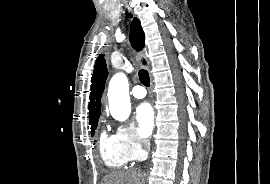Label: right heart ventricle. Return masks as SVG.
Instances as JSON below:
<instances>
[{
	"label": "right heart ventricle",
	"instance_id": "obj_1",
	"mask_svg": "<svg viewBox=\"0 0 270 184\" xmlns=\"http://www.w3.org/2000/svg\"><path fill=\"white\" fill-rule=\"evenodd\" d=\"M99 147L104 163L110 168H122L131 161L115 135H108L103 131L100 135Z\"/></svg>",
	"mask_w": 270,
	"mask_h": 184
}]
</instances>
